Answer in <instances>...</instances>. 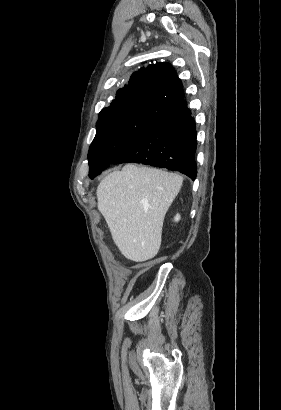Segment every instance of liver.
Listing matches in <instances>:
<instances>
[{"mask_svg":"<svg viewBox=\"0 0 281 410\" xmlns=\"http://www.w3.org/2000/svg\"><path fill=\"white\" fill-rule=\"evenodd\" d=\"M183 177L163 170L125 165L98 185V210L104 216L120 252L135 262L156 256L166 212Z\"/></svg>","mask_w":281,"mask_h":410,"instance_id":"obj_1","label":"liver"}]
</instances>
